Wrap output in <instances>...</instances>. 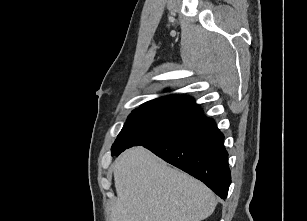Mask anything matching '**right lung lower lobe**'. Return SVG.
Returning a JSON list of instances; mask_svg holds the SVG:
<instances>
[{"mask_svg": "<svg viewBox=\"0 0 307 221\" xmlns=\"http://www.w3.org/2000/svg\"><path fill=\"white\" fill-rule=\"evenodd\" d=\"M224 135L213 119L200 122L173 137L145 145L157 156L205 183L222 199L231 184Z\"/></svg>", "mask_w": 307, "mask_h": 221, "instance_id": "98d812e1", "label": "right lung lower lobe"}]
</instances>
